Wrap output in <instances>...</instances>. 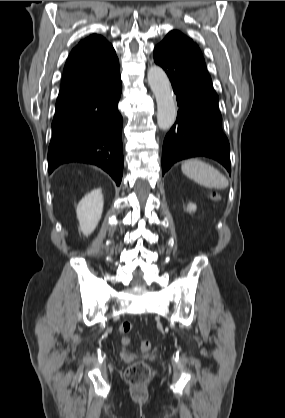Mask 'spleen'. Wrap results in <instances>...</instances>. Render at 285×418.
I'll return each mask as SVG.
<instances>
[{
	"label": "spleen",
	"instance_id": "1",
	"mask_svg": "<svg viewBox=\"0 0 285 418\" xmlns=\"http://www.w3.org/2000/svg\"><path fill=\"white\" fill-rule=\"evenodd\" d=\"M181 169L188 178L205 187L224 189L229 184L227 178L220 171L198 159L186 160Z\"/></svg>",
	"mask_w": 285,
	"mask_h": 418
}]
</instances>
